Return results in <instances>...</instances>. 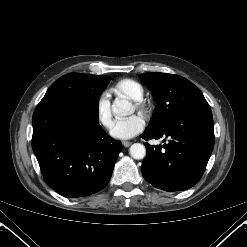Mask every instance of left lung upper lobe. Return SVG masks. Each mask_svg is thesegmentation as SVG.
I'll return each instance as SVG.
<instances>
[{
    "instance_id": "obj_1",
    "label": "left lung upper lobe",
    "mask_w": 247,
    "mask_h": 247,
    "mask_svg": "<svg viewBox=\"0 0 247 247\" xmlns=\"http://www.w3.org/2000/svg\"><path fill=\"white\" fill-rule=\"evenodd\" d=\"M139 77L158 100L148 130L162 129L195 111L211 110L202 92L184 77L158 72L140 74Z\"/></svg>"
}]
</instances>
